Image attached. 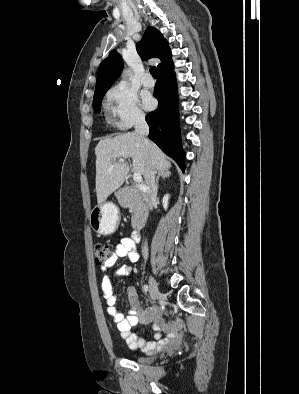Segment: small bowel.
<instances>
[{"mask_svg": "<svg viewBox=\"0 0 299 394\" xmlns=\"http://www.w3.org/2000/svg\"><path fill=\"white\" fill-rule=\"evenodd\" d=\"M134 247L135 241L132 237H121L119 239L110 260L101 267L103 274L101 287L108 305V313L113 318L118 331L128 346L131 349H140L146 354H152L171 348L179 343L181 323L178 320L166 323L162 318L160 307L145 309L139 298L138 290L133 286L127 288V297L131 306L129 314L124 317L116 308L117 293L113 287L112 276L113 274L125 275L129 272L128 266L116 268L119 259L127 258L132 264L138 262L139 256L134 251ZM112 269H114L113 274L111 273ZM138 323L144 325L152 323L153 330L156 332L154 335L155 340L148 341L139 336L137 332L132 331V328Z\"/></svg>", "mask_w": 299, "mask_h": 394, "instance_id": "1", "label": "small bowel"}]
</instances>
